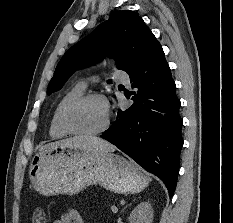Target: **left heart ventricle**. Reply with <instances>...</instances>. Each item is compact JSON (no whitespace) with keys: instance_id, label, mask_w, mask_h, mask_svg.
<instances>
[{"instance_id":"left-heart-ventricle-1","label":"left heart ventricle","mask_w":233,"mask_h":223,"mask_svg":"<svg viewBox=\"0 0 233 223\" xmlns=\"http://www.w3.org/2000/svg\"><path fill=\"white\" fill-rule=\"evenodd\" d=\"M103 100L94 99L78 107L73 114L74 126L83 132H95L106 122Z\"/></svg>"}]
</instances>
